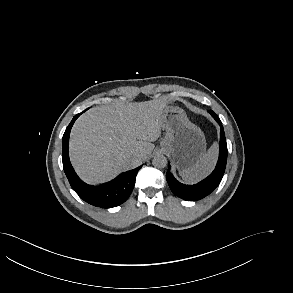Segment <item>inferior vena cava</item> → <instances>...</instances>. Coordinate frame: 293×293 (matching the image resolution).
<instances>
[{"instance_id":"inferior-vena-cava-1","label":"inferior vena cava","mask_w":293,"mask_h":293,"mask_svg":"<svg viewBox=\"0 0 293 293\" xmlns=\"http://www.w3.org/2000/svg\"><path fill=\"white\" fill-rule=\"evenodd\" d=\"M137 159H138V156L135 155V156L133 157V160H137Z\"/></svg>"}]
</instances>
